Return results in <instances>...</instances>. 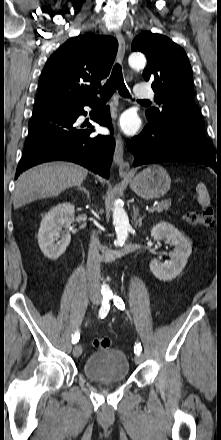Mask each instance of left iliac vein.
<instances>
[{"mask_svg": "<svg viewBox=\"0 0 221 440\" xmlns=\"http://www.w3.org/2000/svg\"><path fill=\"white\" fill-rule=\"evenodd\" d=\"M142 360H143L142 355H137V356L135 357V363H136V364H140V363L142 362Z\"/></svg>", "mask_w": 221, "mask_h": 440, "instance_id": "1", "label": "left iliac vein"}]
</instances>
